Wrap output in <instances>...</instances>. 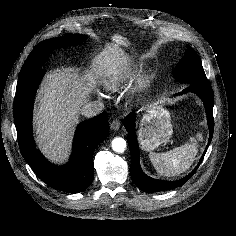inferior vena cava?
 Segmentation results:
<instances>
[{
  "label": "inferior vena cava",
  "instance_id": "obj_1",
  "mask_svg": "<svg viewBox=\"0 0 236 236\" xmlns=\"http://www.w3.org/2000/svg\"><path fill=\"white\" fill-rule=\"evenodd\" d=\"M104 110V104L101 101H91L84 105L82 113L87 118L94 117Z\"/></svg>",
  "mask_w": 236,
  "mask_h": 236
}]
</instances>
